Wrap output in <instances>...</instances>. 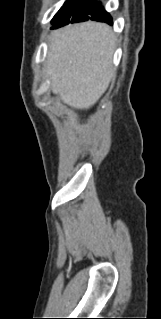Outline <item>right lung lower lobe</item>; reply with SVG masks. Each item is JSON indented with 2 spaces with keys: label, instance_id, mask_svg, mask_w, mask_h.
<instances>
[{
  "label": "right lung lower lobe",
  "instance_id": "98d812e1",
  "mask_svg": "<svg viewBox=\"0 0 161 319\" xmlns=\"http://www.w3.org/2000/svg\"><path fill=\"white\" fill-rule=\"evenodd\" d=\"M86 20H95V21L105 22L112 25V18L110 14L106 12L104 9H101V7H99L97 11L91 14L89 18Z\"/></svg>",
  "mask_w": 161,
  "mask_h": 319
}]
</instances>
